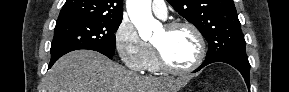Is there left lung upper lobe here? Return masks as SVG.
I'll use <instances>...</instances> for the list:
<instances>
[{
	"instance_id": "left-lung-upper-lobe-1",
	"label": "left lung upper lobe",
	"mask_w": 289,
	"mask_h": 92,
	"mask_svg": "<svg viewBox=\"0 0 289 92\" xmlns=\"http://www.w3.org/2000/svg\"><path fill=\"white\" fill-rule=\"evenodd\" d=\"M209 43L205 60L246 55V42L233 0H167Z\"/></svg>"
}]
</instances>
